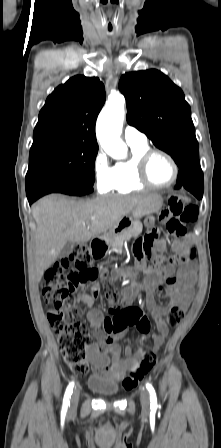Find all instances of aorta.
I'll return each mask as SVG.
<instances>
[{"label": "aorta", "mask_w": 221, "mask_h": 448, "mask_svg": "<svg viewBox=\"0 0 221 448\" xmlns=\"http://www.w3.org/2000/svg\"><path fill=\"white\" fill-rule=\"evenodd\" d=\"M124 106L123 96H112L97 120L96 132L100 144L114 159H125L127 156V146L120 138L125 115Z\"/></svg>", "instance_id": "aorta-1"}]
</instances>
